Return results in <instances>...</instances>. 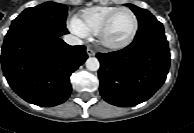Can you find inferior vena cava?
<instances>
[{
    "label": "inferior vena cava",
    "instance_id": "obj_1",
    "mask_svg": "<svg viewBox=\"0 0 194 133\" xmlns=\"http://www.w3.org/2000/svg\"><path fill=\"white\" fill-rule=\"evenodd\" d=\"M63 40L65 43L71 46L81 45L83 43L81 39L71 34L65 35Z\"/></svg>",
    "mask_w": 194,
    "mask_h": 133
}]
</instances>
